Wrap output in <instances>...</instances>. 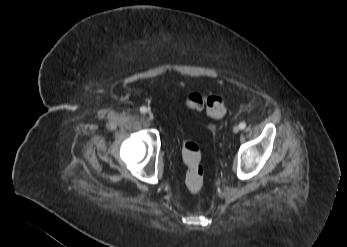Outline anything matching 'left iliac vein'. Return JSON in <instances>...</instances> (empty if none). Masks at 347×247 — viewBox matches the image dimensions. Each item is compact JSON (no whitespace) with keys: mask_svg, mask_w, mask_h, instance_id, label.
Instances as JSON below:
<instances>
[{"mask_svg":"<svg viewBox=\"0 0 347 247\" xmlns=\"http://www.w3.org/2000/svg\"><path fill=\"white\" fill-rule=\"evenodd\" d=\"M239 130H240V127H239V126H234V128H233V132H234V133H238Z\"/></svg>","mask_w":347,"mask_h":247,"instance_id":"1","label":"left iliac vein"}]
</instances>
